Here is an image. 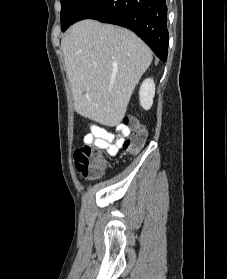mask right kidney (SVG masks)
Wrapping results in <instances>:
<instances>
[{"mask_svg":"<svg viewBox=\"0 0 227 279\" xmlns=\"http://www.w3.org/2000/svg\"><path fill=\"white\" fill-rule=\"evenodd\" d=\"M155 95V84L151 78L145 79L140 86L139 99L140 105L143 109L149 110L153 104V98Z\"/></svg>","mask_w":227,"mask_h":279,"instance_id":"ca27d5eb","label":"right kidney"}]
</instances>
